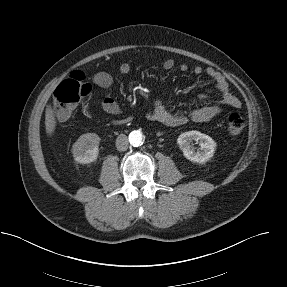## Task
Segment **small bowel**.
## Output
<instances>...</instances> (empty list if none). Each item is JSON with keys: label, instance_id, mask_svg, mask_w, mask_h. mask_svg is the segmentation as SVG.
<instances>
[{"label": "small bowel", "instance_id": "obj_1", "mask_svg": "<svg viewBox=\"0 0 287 287\" xmlns=\"http://www.w3.org/2000/svg\"><path fill=\"white\" fill-rule=\"evenodd\" d=\"M175 66L176 63L172 58H168L163 62V68L166 70H171ZM178 68L182 72H187L190 69L186 63L179 64ZM119 71L121 74H128L131 71L130 64L127 62L122 63L119 67ZM191 71L195 75L205 74L214 83L220 94V98L210 100L206 95H202L200 101L203 105L200 108L178 113L171 112L162 100L156 99L153 109L148 114L149 120L166 126H179L189 120L194 122L208 121L218 115L224 106L234 109L241 107V101L232 93L226 78L219 71L211 67L202 68L201 66H194ZM92 81L100 88H109L113 83V78L109 73L100 71L93 75ZM101 105L102 109L108 114L117 115L120 113L119 105L111 97H105Z\"/></svg>", "mask_w": 287, "mask_h": 287}]
</instances>
